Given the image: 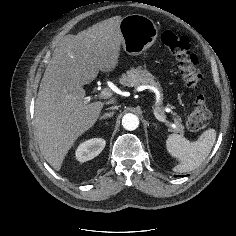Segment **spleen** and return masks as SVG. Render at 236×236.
Listing matches in <instances>:
<instances>
[{
    "label": "spleen",
    "mask_w": 236,
    "mask_h": 236,
    "mask_svg": "<svg viewBox=\"0 0 236 236\" xmlns=\"http://www.w3.org/2000/svg\"><path fill=\"white\" fill-rule=\"evenodd\" d=\"M216 140V130H205L197 141L190 142L182 135L170 134L166 140V148L172 157L180 163L173 170L175 172H189L198 168L208 157Z\"/></svg>",
    "instance_id": "1"
}]
</instances>
